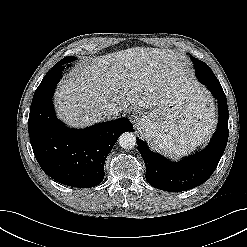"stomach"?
I'll use <instances>...</instances> for the list:
<instances>
[{"label":"stomach","instance_id":"1","mask_svg":"<svg viewBox=\"0 0 247 247\" xmlns=\"http://www.w3.org/2000/svg\"><path fill=\"white\" fill-rule=\"evenodd\" d=\"M210 108V97L193 78L184 75L153 110L142 116L139 131L156 149L172 156L184 155L210 133L207 121L214 120Z\"/></svg>","mask_w":247,"mask_h":247}]
</instances>
